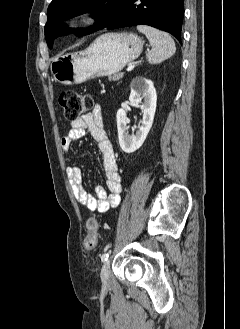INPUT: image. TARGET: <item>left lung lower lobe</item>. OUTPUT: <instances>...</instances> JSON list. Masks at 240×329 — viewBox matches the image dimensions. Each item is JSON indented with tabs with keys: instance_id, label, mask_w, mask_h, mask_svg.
Segmentation results:
<instances>
[{
	"instance_id": "left-lung-lower-lobe-1",
	"label": "left lung lower lobe",
	"mask_w": 240,
	"mask_h": 329,
	"mask_svg": "<svg viewBox=\"0 0 240 329\" xmlns=\"http://www.w3.org/2000/svg\"><path fill=\"white\" fill-rule=\"evenodd\" d=\"M183 18L184 0H125L106 28L149 25L169 32L181 43Z\"/></svg>"
}]
</instances>
